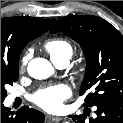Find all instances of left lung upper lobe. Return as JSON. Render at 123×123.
Masks as SVG:
<instances>
[{"mask_svg":"<svg viewBox=\"0 0 123 123\" xmlns=\"http://www.w3.org/2000/svg\"><path fill=\"white\" fill-rule=\"evenodd\" d=\"M62 31L80 44L86 70L80 95L85 106H95L110 98L123 99V36L106 20L92 15H72L59 19L51 33Z\"/></svg>","mask_w":123,"mask_h":123,"instance_id":"5c2ea615","label":"left lung upper lobe"}]
</instances>
